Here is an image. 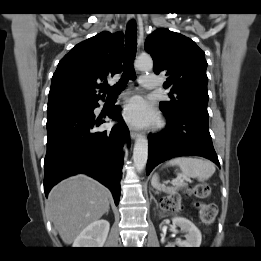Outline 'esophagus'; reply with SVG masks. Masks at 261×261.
I'll list each match as a JSON object with an SVG mask.
<instances>
[{
  "mask_svg": "<svg viewBox=\"0 0 261 261\" xmlns=\"http://www.w3.org/2000/svg\"><path fill=\"white\" fill-rule=\"evenodd\" d=\"M133 17H134L133 15H129L128 20L133 19ZM129 131H130V136L132 139H136L138 137L139 133L135 128L129 126Z\"/></svg>",
  "mask_w": 261,
  "mask_h": 261,
  "instance_id": "esophagus-1",
  "label": "esophagus"
}]
</instances>
